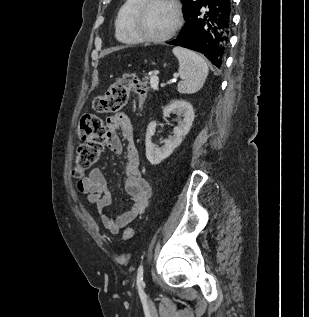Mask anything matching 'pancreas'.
I'll return each instance as SVG.
<instances>
[{"instance_id":"1","label":"pancreas","mask_w":309,"mask_h":317,"mask_svg":"<svg viewBox=\"0 0 309 317\" xmlns=\"http://www.w3.org/2000/svg\"><path fill=\"white\" fill-rule=\"evenodd\" d=\"M151 77H152V76H151ZM151 77H150V78L145 77L143 80L145 81V83H149L148 80H151ZM150 87H151L152 89H154V88L151 86V83H150Z\"/></svg>"}]
</instances>
